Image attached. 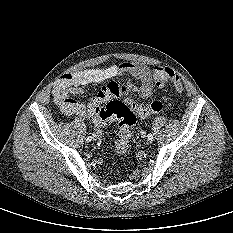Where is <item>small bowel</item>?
I'll list each match as a JSON object with an SVG mask.
<instances>
[{
    "instance_id": "1",
    "label": "small bowel",
    "mask_w": 233,
    "mask_h": 233,
    "mask_svg": "<svg viewBox=\"0 0 233 233\" xmlns=\"http://www.w3.org/2000/svg\"><path fill=\"white\" fill-rule=\"evenodd\" d=\"M125 74L132 76L138 83L127 82L120 85L114 81L109 82L91 99L88 106L71 98L72 95L82 94L87 86L100 84ZM152 90V72L147 66L134 62H122L107 67H95L65 74L55 85L53 97L55 104L65 115L91 118L90 109L93 105H101L108 100L129 93H137L142 98H148L152 94ZM95 123L102 125L105 122Z\"/></svg>"
}]
</instances>
